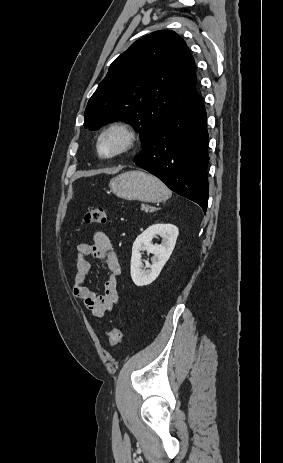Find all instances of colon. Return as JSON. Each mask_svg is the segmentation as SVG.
I'll use <instances>...</instances> for the list:
<instances>
[{"instance_id":"1","label":"colon","mask_w":283,"mask_h":463,"mask_svg":"<svg viewBox=\"0 0 283 463\" xmlns=\"http://www.w3.org/2000/svg\"><path fill=\"white\" fill-rule=\"evenodd\" d=\"M107 215L106 211L101 207H90L84 216V220L89 224H103L106 222ZM122 338V329L115 327L111 330L109 335L110 347H116Z\"/></svg>"}]
</instances>
